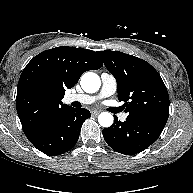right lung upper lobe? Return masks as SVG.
<instances>
[{"label":"right lung upper lobe","mask_w":193,"mask_h":193,"mask_svg":"<svg viewBox=\"0 0 193 193\" xmlns=\"http://www.w3.org/2000/svg\"><path fill=\"white\" fill-rule=\"evenodd\" d=\"M102 66L94 51L68 46L49 49L32 58L21 73L16 97L26 137L71 108L62 102L65 90L72 88L85 71Z\"/></svg>","instance_id":"obj_1"}]
</instances>
